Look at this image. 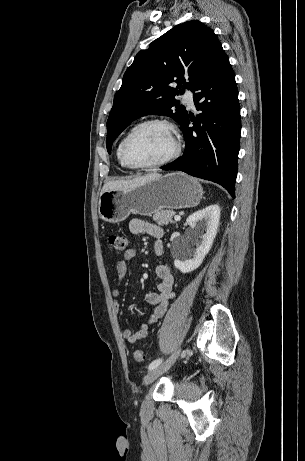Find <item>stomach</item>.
<instances>
[{
    "mask_svg": "<svg viewBox=\"0 0 305 461\" xmlns=\"http://www.w3.org/2000/svg\"><path fill=\"white\" fill-rule=\"evenodd\" d=\"M202 196L203 189L196 179L172 172L134 188L104 192L98 212L104 221L118 223L131 213L150 216L162 209L195 207Z\"/></svg>",
    "mask_w": 305,
    "mask_h": 461,
    "instance_id": "1",
    "label": "stomach"
}]
</instances>
